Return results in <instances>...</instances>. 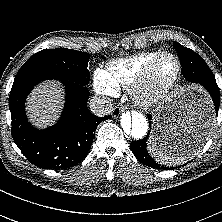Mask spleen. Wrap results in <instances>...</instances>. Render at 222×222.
I'll list each match as a JSON object with an SVG mask.
<instances>
[{
  "label": "spleen",
  "mask_w": 222,
  "mask_h": 222,
  "mask_svg": "<svg viewBox=\"0 0 222 222\" xmlns=\"http://www.w3.org/2000/svg\"><path fill=\"white\" fill-rule=\"evenodd\" d=\"M147 149L151 156L164 165H180L191 155V153L173 152L169 146L159 144L154 140H149Z\"/></svg>",
  "instance_id": "spleen-1"
}]
</instances>
